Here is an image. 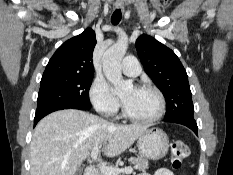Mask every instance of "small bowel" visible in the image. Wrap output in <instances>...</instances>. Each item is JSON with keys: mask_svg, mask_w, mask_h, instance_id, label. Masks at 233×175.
<instances>
[{"mask_svg": "<svg viewBox=\"0 0 233 175\" xmlns=\"http://www.w3.org/2000/svg\"><path fill=\"white\" fill-rule=\"evenodd\" d=\"M138 175H151V174H149L147 172H141ZM154 175H174V173L167 168H161V169L157 170Z\"/></svg>", "mask_w": 233, "mask_h": 175, "instance_id": "1", "label": "small bowel"}]
</instances>
